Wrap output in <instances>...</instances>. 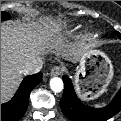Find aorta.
Listing matches in <instances>:
<instances>
[{"instance_id":"1","label":"aorta","mask_w":121,"mask_h":121,"mask_svg":"<svg viewBox=\"0 0 121 121\" xmlns=\"http://www.w3.org/2000/svg\"><path fill=\"white\" fill-rule=\"evenodd\" d=\"M50 88L54 92H61L64 88V83L61 78L54 77L50 80Z\"/></svg>"}]
</instances>
